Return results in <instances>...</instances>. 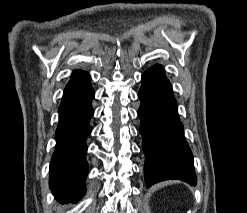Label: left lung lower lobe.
<instances>
[{"instance_id":"obj_1","label":"left lung lower lobe","mask_w":247,"mask_h":213,"mask_svg":"<svg viewBox=\"0 0 247 213\" xmlns=\"http://www.w3.org/2000/svg\"><path fill=\"white\" fill-rule=\"evenodd\" d=\"M138 96L146 186L167 179L196 185L192 152L184 138L176 100L162 66L156 64L143 73Z\"/></svg>"}]
</instances>
